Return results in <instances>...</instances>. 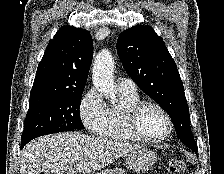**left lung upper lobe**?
Returning a JSON list of instances; mask_svg holds the SVG:
<instances>
[{
  "label": "left lung upper lobe",
  "mask_w": 224,
  "mask_h": 174,
  "mask_svg": "<svg viewBox=\"0 0 224 174\" xmlns=\"http://www.w3.org/2000/svg\"><path fill=\"white\" fill-rule=\"evenodd\" d=\"M116 48L131 79L169 114L180 141L197 152L184 87L161 37L149 26H134L121 33Z\"/></svg>",
  "instance_id": "1"
}]
</instances>
